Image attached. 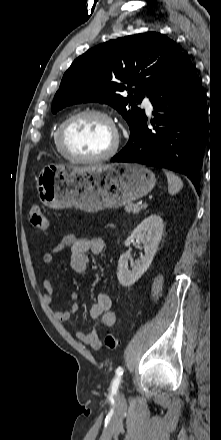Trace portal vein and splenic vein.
<instances>
[{"label": "portal vein and splenic vein", "mask_w": 221, "mask_h": 440, "mask_svg": "<svg viewBox=\"0 0 221 440\" xmlns=\"http://www.w3.org/2000/svg\"><path fill=\"white\" fill-rule=\"evenodd\" d=\"M147 206H148V204H147V203H144V204H143V207H144V208H146Z\"/></svg>", "instance_id": "obj_1"}]
</instances>
